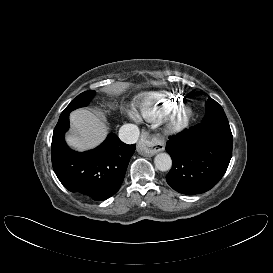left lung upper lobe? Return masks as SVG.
<instances>
[{
  "instance_id": "1",
  "label": "left lung upper lobe",
  "mask_w": 273,
  "mask_h": 273,
  "mask_svg": "<svg viewBox=\"0 0 273 273\" xmlns=\"http://www.w3.org/2000/svg\"><path fill=\"white\" fill-rule=\"evenodd\" d=\"M206 115L204 118L226 117L223 108L212 98H209L205 104Z\"/></svg>"
}]
</instances>
